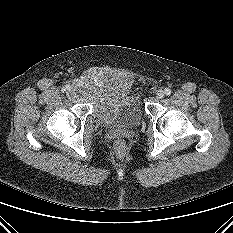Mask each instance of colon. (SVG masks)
<instances>
[{
    "instance_id": "5ec220e1",
    "label": "colon",
    "mask_w": 233,
    "mask_h": 233,
    "mask_svg": "<svg viewBox=\"0 0 233 233\" xmlns=\"http://www.w3.org/2000/svg\"><path fill=\"white\" fill-rule=\"evenodd\" d=\"M126 149H127V146L124 140L118 139L115 141L114 151L119 158H123L125 156Z\"/></svg>"
}]
</instances>
